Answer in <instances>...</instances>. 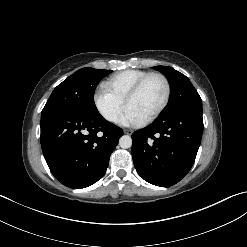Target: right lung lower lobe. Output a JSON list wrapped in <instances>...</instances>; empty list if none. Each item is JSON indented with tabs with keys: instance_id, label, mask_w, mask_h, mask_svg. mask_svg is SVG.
<instances>
[{
	"instance_id": "1",
	"label": "right lung lower lobe",
	"mask_w": 247,
	"mask_h": 247,
	"mask_svg": "<svg viewBox=\"0 0 247 247\" xmlns=\"http://www.w3.org/2000/svg\"><path fill=\"white\" fill-rule=\"evenodd\" d=\"M122 133L100 113L58 108L41 115V146L48 167L59 182L74 189L88 187L104 175Z\"/></svg>"
}]
</instances>
